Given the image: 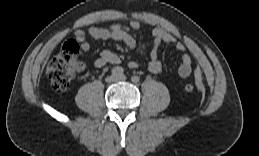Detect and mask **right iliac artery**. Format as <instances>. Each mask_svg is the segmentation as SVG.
<instances>
[{"label": "right iliac artery", "instance_id": "right-iliac-artery-1", "mask_svg": "<svg viewBox=\"0 0 259 156\" xmlns=\"http://www.w3.org/2000/svg\"><path fill=\"white\" fill-rule=\"evenodd\" d=\"M123 72H124V69L120 66H117V67H114L112 70H111V73L112 75L114 76H120V75H123Z\"/></svg>", "mask_w": 259, "mask_h": 156}]
</instances>
